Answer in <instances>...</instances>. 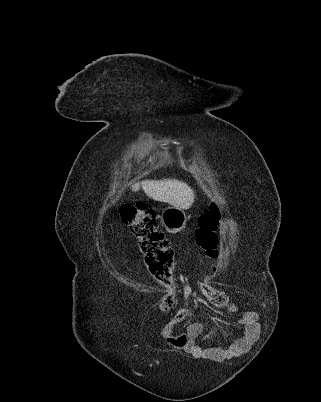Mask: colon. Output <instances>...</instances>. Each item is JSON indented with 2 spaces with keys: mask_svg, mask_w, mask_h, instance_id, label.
<instances>
[{
  "mask_svg": "<svg viewBox=\"0 0 321 402\" xmlns=\"http://www.w3.org/2000/svg\"><path fill=\"white\" fill-rule=\"evenodd\" d=\"M120 217L137 240L149 273L159 282L160 288L168 292L160 300V309L171 310L175 303L174 251L158 226L155 210L143 203L127 204L121 208ZM220 220L221 213L216 204L211 205L198 218L196 244L211 260H216L219 254L217 228ZM199 280H202V277H199ZM198 293L206 296L217 308H223L229 302L228 295L224 291L213 288L205 280L200 281Z\"/></svg>",
  "mask_w": 321,
  "mask_h": 402,
  "instance_id": "5ec220e1",
  "label": "colon"
}]
</instances>
